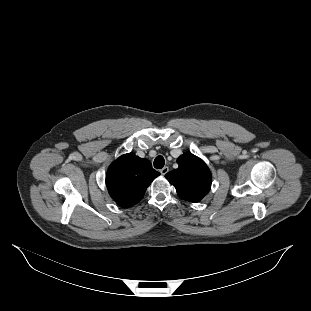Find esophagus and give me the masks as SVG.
Listing matches in <instances>:
<instances>
[{"label": "esophagus", "instance_id": "34e87169", "mask_svg": "<svg viewBox=\"0 0 311 311\" xmlns=\"http://www.w3.org/2000/svg\"><path fill=\"white\" fill-rule=\"evenodd\" d=\"M168 171H169V167H168V166H165V167H163V168L160 170V172H161L162 175H165Z\"/></svg>", "mask_w": 311, "mask_h": 311}]
</instances>
